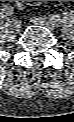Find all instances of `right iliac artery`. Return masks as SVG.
Returning a JSON list of instances; mask_svg holds the SVG:
<instances>
[{"mask_svg": "<svg viewBox=\"0 0 74 122\" xmlns=\"http://www.w3.org/2000/svg\"><path fill=\"white\" fill-rule=\"evenodd\" d=\"M2 12L4 14H13V7L11 6H8V5H4L3 8H2Z\"/></svg>", "mask_w": 74, "mask_h": 122, "instance_id": "right-iliac-artery-1", "label": "right iliac artery"}]
</instances>
